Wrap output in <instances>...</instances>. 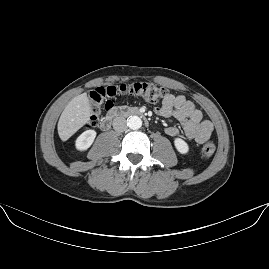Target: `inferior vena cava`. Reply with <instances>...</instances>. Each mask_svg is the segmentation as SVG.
Masks as SVG:
<instances>
[{
  "label": "inferior vena cava",
  "instance_id": "1",
  "mask_svg": "<svg viewBox=\"0 0 269 269\" xmlns=\"http://www.w3.org/2000/svg\"><path fill=\"white\" fill-rule=\"evenodd\" d=\"M113 129L118 132H124L128 128L127 121L124 117H115L112 122Z\"/></svg>",
  "mask_w": 269,
  "mask_h": 269
}]
</instances>
